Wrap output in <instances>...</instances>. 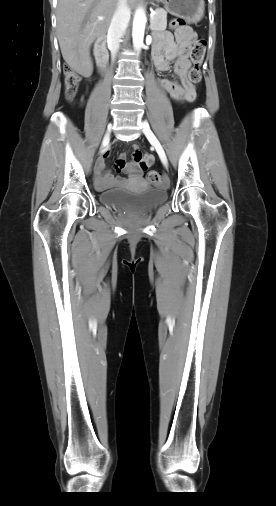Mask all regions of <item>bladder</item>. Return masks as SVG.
Listing matches in <instances>:
<instances>
[{"instance_id": "bladder-1", "label": "bladder", "mask_w": 276, "mask_h": 506, "mask_svg": "<svg viewBox=\"0 0 276 506\" xmlns=\"http://www.w3.org/2000/svg\"><path fill=\"white\" fill-rule=\"evenodd\" d=\"M165 190L148 187L142 191L114 190L100 194L101 201L110 207H131L148 211L166 201Z\"/></svg>"}]
</instances>
